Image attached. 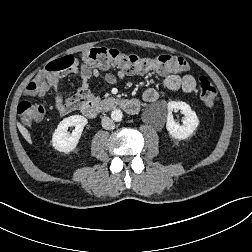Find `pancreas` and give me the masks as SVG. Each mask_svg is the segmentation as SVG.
Segmentation results:
<instances>
[{"label":"pancreas","mask_w":252,"mask_h":252,"mask_svg":"<svg viewBox=\"0 0 252 252\" xmlns=\"http://www.w3.org/2000/svg\"><path fill=\"white\" fill-rule=\"evenodd\" d=\"M116 101L115 98H106V99H103V100H100L98 99V102H99V105L102 107V108H105L107 105H110L112 103H114Z\"/></svg>","instance_id":"pancreas-1"}]
</instances>
